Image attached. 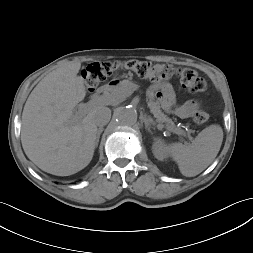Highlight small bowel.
Returning <instances> with one entry per match:
<instances>
[{
	"label": "small bowel",
	"instance_id": "c3829d8e",
	"mask_svg": "<svg viewBox=\"0 0 253 253\" xmlns=\"http://www.w3.org/2000/svg\"><path fill=\"white\" fill-rule=\"evenodd\" d=\"M150 99L157 100L166 111L179 118L190 117L195 110L200 108V103L196 100H188L184 103H177L175 91L168 82H155L148 91Z\"/></svg>",
	"mask_w": 253,
	"mask_h": 253
}]
</instances>
